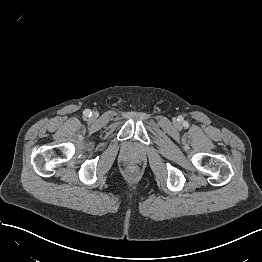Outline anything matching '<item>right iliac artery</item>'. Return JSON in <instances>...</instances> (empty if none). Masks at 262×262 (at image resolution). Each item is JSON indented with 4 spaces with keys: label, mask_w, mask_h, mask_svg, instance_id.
I'll return each instance as SVG.
<instances>
[{
    "label": "right iliac artery",
    "mask_w": 262,
    "mask_h": 262,
    "mask_svg": "<svg viewBox=\"0 0 262 262\" xmlns=\"http://www.w3.org/2000/svg\"><path fill=\"white\" fill-rule=\"evenodd\" d=\"M83 114H84L85 117H91L92 112H91L89 109H86V110L83 112Z\"/></svg>",
    "instance_id": "obj_1"
}]
</instances>
